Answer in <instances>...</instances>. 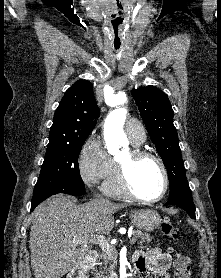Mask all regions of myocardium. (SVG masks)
<instances>
[{
    "instance_id": "f54148a6",
    "label": "myocardium",
    "mask_w": 221,
    "mask_h": 278,
    "mask_svg": "<svg viewBox=\"0 0 221 278\" xmlns=\"http://www.w3.org/2000/svg\"><path fill=\"white\" fill-rule=\"evenodd\" d=\"M144 158L153 159L160 167L163 175V189L161 193L154 198H147L139 195L135 191L130 179L131 165L136 161ZM128 160H129L128 163H122L116 160V172H117L118 183L122 191L125 193V195L130 197L131 199L144 202V203H156L161 201L166 196L169 189V174L162 159L151 151L141 149V148H132L128 152Z\"/></svg>"
}]
</instances>
